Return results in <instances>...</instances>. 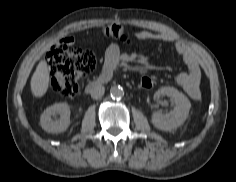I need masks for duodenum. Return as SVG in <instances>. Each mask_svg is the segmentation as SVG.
Here are the masks:
<instances>
[{"instance_id":"1","label":"duodenum","mask_w":236,"mask_h":182,"mask_svg":"<svg viewBox=\"0 0 236 182\" xmlns=\"http://www.w3.org/2000/svg\"><path fill=\"white\" fill-rule=\"evenodd\" d=\"M113 77V69L109 66H106L102 73L95 79L89 81L85 87V92L89 93L94 88L99 85L109 82Z\"/></svg>"}]
</instances>
